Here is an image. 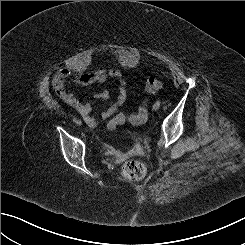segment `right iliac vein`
<instances>
[{"mask_svg": "<svg viewBox=\"0 0 245 245\" xmlns=\"http://www.w3.org/2000/svg\"><path fill=\"white\" fill-rule=\"evenodd\" d=\"M76 123H77L78 126L82 125V122L80 120H78Z\"/></svg>", "mask_w": 245, "mask_h": 245, "instance_id": "63e3f726", "label": "right iliac vein"}]
</instances>
